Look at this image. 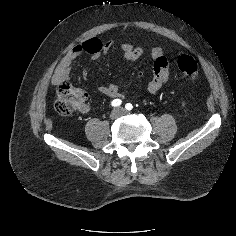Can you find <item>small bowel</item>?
I'll list each match as a JSON object with an SVG mask.
<instances>
[{"instance_id":"obj_1","label":"small bowel","mask_w":236,"mask_h":236,"mask_svg":"<svg viewBox=\"0 0 236 236\" xmlns=\"http://www.w3.org/2000/svg\"><path fill=\"white\" fill-rule=\"evenodd\" d=\"M112 45L113 42L111 40L101 41L96 37L89 38L83 43L77 44L57 65L52 76V84L59 86L62 83H67L70 70L75 61L84 55H89L93 60H98L110 50ZM121 51L124 59L134 61L143 55L145 49L141 46L125 43L121 46ZM150 55L153 61V77L147 85V90L150 94H157L169 79V62L163 50L158 46L151 49ZM82 75L84 79L89 77L88 71H83ZM98 91L112 99L122 97L116 83L99 85ZM89 110L90 107L88 105L81 107V111L84 113Z\"/></svg>"}]
</instances>
